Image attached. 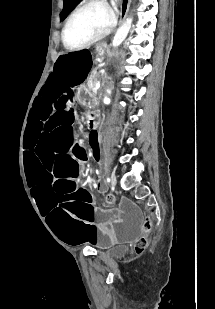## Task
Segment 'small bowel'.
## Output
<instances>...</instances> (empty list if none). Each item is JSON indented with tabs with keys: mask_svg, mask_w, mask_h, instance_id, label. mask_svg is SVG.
<instances>
[{
	"mask_svg": "<svg viewBox=\"0 0 215 309\" xmlns=\"http://www.w3.org/2000/svg\"><path fill=\"white\" fill-rule=\"evenodd\" d=\"M88 127H89L90 130L93 129L92 126H89V125H88ZM91 139L93 140V145H94V147H95L97 150H99V149H100V146H99V142H98V139H97V136H96V132H95V134H92V135H91ZM99 189H100V190H103V187H102V185H100V184H99Z\"/></svg>",
	"mask_w": 215,
	"mask_h": 309,
	"instance_id": "small-bowel-1",
	"label": "small bowel"
}]
</instances>
